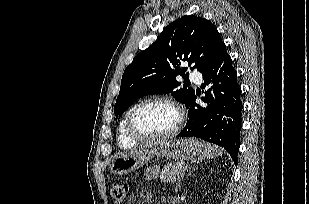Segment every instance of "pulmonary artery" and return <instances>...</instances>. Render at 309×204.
I'll list each match as a JSON object with an SVG mask.
<instances>
[{
  "label": "pulmonary artery",
  "instance_id": "pulmonary-artery-1",
  "mask_svg": "<svg viewBox=\"0 0 309 204\" xmlns=\"http://www.w3.org/2000/svg\"><path fill=\"white\" fill-rule=\"evenodd\" d=\"M190 79L196 83H200L202 81V75L198 71H193L190 74Z\"/></svg>",
  "mask_w": 309,
  "mask_h": 204
}]
</instances>
